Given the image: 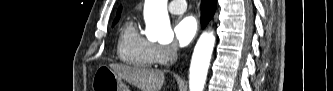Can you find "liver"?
I'll return each instance as SVG.
<instances>
[{
	"mask_svg": "<svg viewBox=\"0 0 333 91\" xmlns=\"http://www.w3.org/2000/svg\"><path fill=\"white\" fill-rule=\"evenodd\" d=\"M110 69L120 78L136 86L141 91H160L165 75L160 70L110 64Z\"/></svg>",
	"mask_w": 333,
	"mask_h": 91,
	"instance_id": "6515ba94",
	"label": "liver"
}]
</instances>
